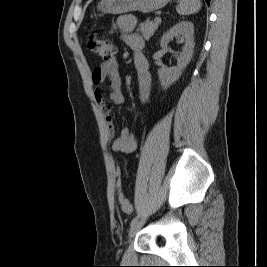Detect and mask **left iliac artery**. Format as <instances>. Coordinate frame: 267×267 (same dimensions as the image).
Returning a JSON list of instances; mask_svg holds the SVG:
<instances>
[{
	"label": "left iliac artery",
	"instance_id": "1",
	"mask_svg": "<svg viewBox=\"0 0 267 267\" xmlns=\"http://www.w3.org/2000/svg\"><path fill=\"white\" fill-rule=\"evenodd\" d=\"M138 221V216L134 217L130 223V225L132 226L133 224H135Z\"/></svg>",
	"mask_w": 267,
	"mask_h": 267
}]
</instances>
